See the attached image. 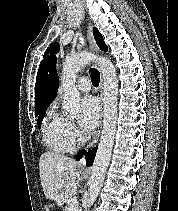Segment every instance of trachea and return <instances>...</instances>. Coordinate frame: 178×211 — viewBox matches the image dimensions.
<instances>
[{
	"instance_id": "obj_1",
	"label": "trachea",
	"mask_w": 178,
	"mask_h": 211,
	"mask_svg": "<svg viewBox=\"0 0 178 211\" xmlns=\"http://www.w3.org/2000/svg\"><path fill=\"white\" fill-rule=\"evenodd\" d=\"M91 79H92L93 85L97 87L100 82V74H99V71L95 68L91 69Z\"/></svg>"
}]
</instances>
